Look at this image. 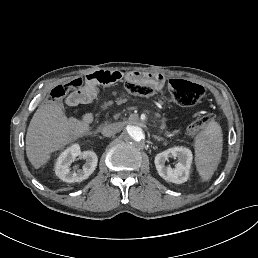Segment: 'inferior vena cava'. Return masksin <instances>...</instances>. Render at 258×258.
I'll return each instance as SVG.
<instances>
[{
  "label": "inferior vena cava",
  "instance_id": "obj_1",
  "mask_svg": "<svg viewBox=\"0 0 258 258\" xmlns=\"http://www.w3.org/2000/svg\"><path fill=\"white\" fill-rule=\"evenodd\" d=\"M119 131L120 128H115L114 124H108L102 128V134L105 137H111Z\"/></svg>",
  "mask_w": 258,
  "mask_h": 258
}]
</instances>
